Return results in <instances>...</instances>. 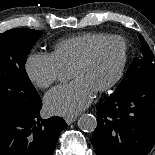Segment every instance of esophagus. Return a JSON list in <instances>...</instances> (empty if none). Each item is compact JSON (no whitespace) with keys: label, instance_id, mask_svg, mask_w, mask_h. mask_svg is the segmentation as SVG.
Instances as JSON below:
<instances>
[{"label":"esophagus","instance_id":"obj_1","mask_svg":"<svg viewBox=\"0 0 155 155\" xmlns=\"http://www.w3.org/2000/svg\"><path fill=\"white\" fill-rule=\"evenodd\" d=\"M65 121L68 125L72 124L73 122L76 121V117H66Z\"/></svg>","mask_w":155,"mask_h":155}]
</instances>
